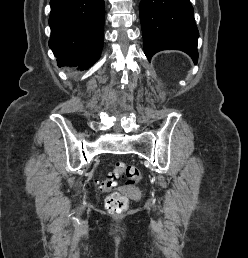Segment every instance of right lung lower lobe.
<instances>
[{"label": "right lung lower lobe", "instance_id": "obj_1", "mask_svg": "<svg viewBox=\"0 0 248 258\" xmlns=\"http://www.w3.org/2000/svg\"><path fill=\"white\" fill-rule=\"evenodd\" d=\"M49 46L59 66L86 69L103 47L104 0H50Z\"/></svg>", "mask_w": 248, "mask_h": 258}]
</instances>
